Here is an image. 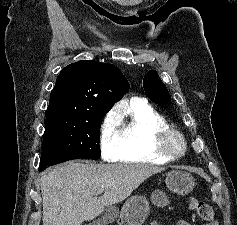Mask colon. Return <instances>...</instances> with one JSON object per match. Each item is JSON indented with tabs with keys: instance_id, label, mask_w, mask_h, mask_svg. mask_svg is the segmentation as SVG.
<instances>
[{
	"instance_id": "5ec220e1",
	"label": "colon",
	"mask_w": 237,
	"mask_h": 225,
	"mask_svg": "<svg viewBox=\"0 0 237 225\" xmlns=\"http://www.w3.org/2000/svg\"><path fill=\"white\" fill-rule=\"evenodd\" d=\"M188 206L191 210H195L203 222V225H218V222L214 218V212L212 207L195 198H190L188 201Z\"/></svg>"
}]
</instances>
